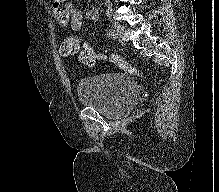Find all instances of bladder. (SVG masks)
I'll list each match as a JSON object with an SVG mask.
<instances>
[{
  "label": "bladder",
  "instance_id": "obj_1",
  "mask_svg": "<svg viewBox=\"0 0 219 192\" xmlns=\"http://www.w3.org/2000/svg\"><path fill=\"white\" fill-rule=\"evenodd\" d=\"M81 105L115 120L133 109L139 96L137 83L128 76L105 73L81 79L77 85Z\"/></svg>",
  "mask_w": 219,
  "mask_h": 192
}]
</instances>
